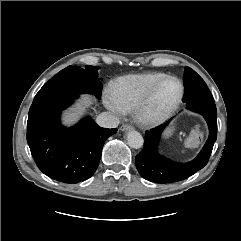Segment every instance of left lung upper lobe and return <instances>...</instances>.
Instances as JSON below:
<instances>
[{
  "label": "left lung upper lobe",
  "instance_id": "5c2ea615",
  "mask_svg": "<svg viewBox=\"0 0 241 241\" xmlns=\"http://www.w3.org/2000/svg\"><path fill=\"white\" fill-rule=\"evenodd\" d=\"M183 81L185 88L183 102L187 105L201 101H214L204 80L190 67H185Z\"/></svg>",
  "mask_w": 241,
  "mask_h": 241
}]
</instances>
